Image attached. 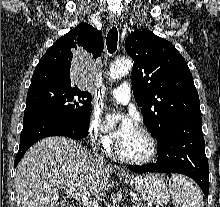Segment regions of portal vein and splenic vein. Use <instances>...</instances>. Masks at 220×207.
<instances>
[{"instance_id": "portal-vein-and-splenic-vein-1", "label": "portal vein and splenic vein", "mask_w": 220, "mask_h": 207, "mask_svg": "<svg viewBox=\"0 0 220 207\" xmlns=\"http://www.w3.org/2000/svg\"><path fill=\"white\" fill-rule=\"evenodd\" d=\"M65 193L80 202L84 207H99L96 201L92 200L82 193L77 192L74 187H69L68 189H65Z\"/></svg>"}]
</instances>
